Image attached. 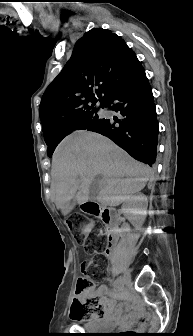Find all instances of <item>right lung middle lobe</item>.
Here are the masks:
<instances>
[{
	"label": "right lung middle lobe",
	"mask_w": 193,
	"mask_h": 336,
	"mask_svg": "<svg viewBox=\"0 0 193 336\" xmlns=\"http://www.w3.org/2000/svg\"><path fill=\"white\" fill-rule=\"evenodd\" d=\"M95 113L97 110L94 111ZM106 123V119H99L98 115L95 114L93 116V113H89L85 115L84 117L80 118L76 121V123L64 134L54 136L48 140H46V144L48 145L47 153L48 156L51 157L53 151L55 150L58 143L61 142V140L71 132L75 130H88V131H97L98 129L102 128Z\"/></svg>",
	"instance_id": "right-lung-middle-lobe-1"
}]
</instances>
